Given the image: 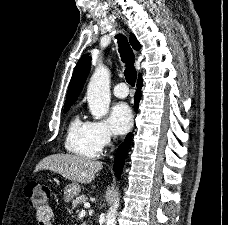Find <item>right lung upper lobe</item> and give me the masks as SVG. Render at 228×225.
Instances as JSON below:
<instances>
[{
  "instance_id": "1",
  "label": "right lung upper lobe",
  "mask_w": 228,
  "mask_h": 225,
  "mask_svg": "<svg viewBox=\"0 0 228 225\" xmlns=\"http://www.w3.org/2000/svg\"><path fill=\"white\" fill-rule=\"evenodd\" d=\"M130 43L135 50L140 49V43L132 33L130 34ZM90 66L91 58L88 57V54H85L80 58L74 69L64 107L72 105L76 101L89 74Z\"/></svg>"
}]
</instances>
